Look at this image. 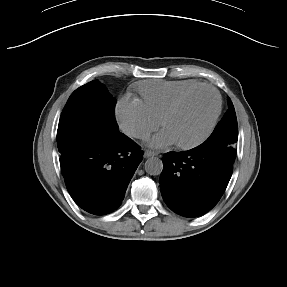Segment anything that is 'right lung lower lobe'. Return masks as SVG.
Masks as SVG:
<instances>
[{
	"instance_id": "1",
	"label": "right lung lower lobe",
	"mask_w": 287,
	"mask_h": 287,
	"mask_svg": "<svg viewBox=\"0 0 287 287\" xmlns=\"http://www.w3.org/2000/svg\"><path fill=\"white\" fill-rule=\"evenodd\" d=\"M142 156L141 148L118 132L76 146L60 164L73 200L89 213L104 215L120 206Z\"/></svg>"
}]
</instances>
